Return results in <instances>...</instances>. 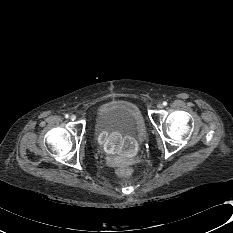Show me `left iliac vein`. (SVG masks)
<instances>
[{
    "mask_svg": "<svg viewBox=\"0 0 233 233\" xmlns=\"http://www.w3.org/2000/svg\"><path fill=\"white\" fill-rule=\"evenodd\" d=\"M157 108H158V109H162V108H163V104H162V103H158V104H157Z\"/></svg>",
    "mask_w": 233,
    "mask_h": 233,
    "instance_id": "obj_1",
    "label": "left iliac vein"
}]
</instances>
